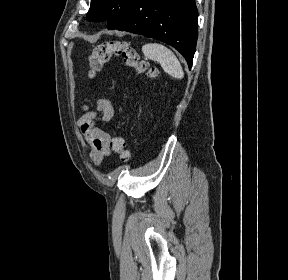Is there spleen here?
<instances>
[{
  "label": "spleen",
  "instance_id": "spleen-1",
  "mask_svg": "<svg viewBox=\"0 0 288 280\" xmlns=\"http://www.w3.org/2000/svg\"><path fill=\"white\" fill-rule=\"evenodd\" d=\"M145 57L158 61L163 70L174 78L182 79L184 72L174 53L159 43H148L142 46Z\"/></svg>",
  "mask_w": 288,
  "mask_h": 280
}]
</instances>
